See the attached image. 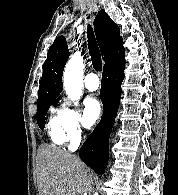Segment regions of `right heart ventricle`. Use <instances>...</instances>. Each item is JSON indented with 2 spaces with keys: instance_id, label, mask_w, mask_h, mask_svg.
<instances>
[{
  "instance_id": "1",
  "label": "right heart ventricle",
  "mask_w": 178,
  "mask_h": 195,
  "mask_svg": "<svg viewBox=\"0 0 178 195\" xmlns=\"http://www.w3.org/2000/svg\"><path fill=\"white\" fill-rule=\"evenodd\" d=\"M48 134L56 145H64L67 141L62 127L61 112L53 114L47 124Z\"/></svg>"
}]
</instances>
